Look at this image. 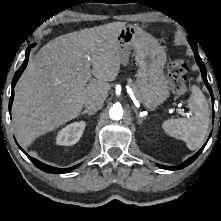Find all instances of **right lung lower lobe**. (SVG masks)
I'll return each instance as SVG.
<instances>
[{
  "label": "right lung lower lobe",
  "mask_w": 221,
  "mask_h": 221,
  "mask_svg": "<svg viewBox=\"0 0 221 221\" xmlns=\"http://www.w3.org/2000/svg\"><path fill=\"white\" fill-rule=\"evenodd\" d=\"M33 45H31L30 47H28V49L26 50V59L24 60L23 64L21 65V67L16 71L15 75H14V78H13V81H12V94H11V97H10V100H9V112L11 113V106H12V102H13V98H14V87H15V84L17 82V80L19 79L20 75L22 74V72L24 71V69L26 68L27 66V63H28V56H29V50L31 47H33ZM17 143V142H16ZM18 145V144H17ZM18 147L23 151V149L18 145ZM24 152V151H23ZM26 154V152H24ZM26 156L32 161V163L37 166L39 169L45 171V172H49V173H53V174H61V173H66V172H69L73 169H75L77 166L79 165H76L74 167H71V168H67V169H62V168H56V167H52V166H49V165H46L40 161H38L37 159L35 158H32L30 157L28 154H26Z\"/></svg>",
  "instance_id": "obj_1"
}]
</instances>
